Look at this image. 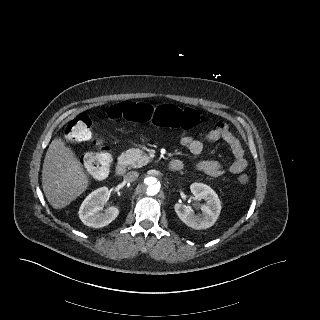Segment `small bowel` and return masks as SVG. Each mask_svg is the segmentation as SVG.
<instances>
[{
  "instance_id": "1",
  "label": "small bowel",
  "mask_w": 320,
  "mask_h": 320,
  "mask_svg": "<svg viewBox=\"0 0 320 320\" xmlns=\"http://www.w3.org/2000/svg\"><path fill=\"white\" fill-rule=\"evenodd\" d=\"M208 142L223 140L230 148L234 160L224 166L216 160H204L196 165V169L212 177H221L226 173L239 174L247 167V160L244 157V149L240 140L222 122L215 125L214 129L208 132L205 137ZM181 145L194 155H199L204 149V141L192 136L183 134L180 138Z\"/></svg>"
}]
</instances>
